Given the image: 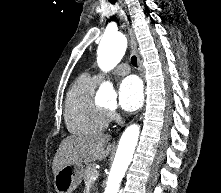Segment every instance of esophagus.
I'll list each match as a JSON object with an SVG mask.
<instances>
[{
	"label": "esophagus",
	"mask_w": 221,
	"mask_h": 193,
	"mask_svg": "<svg viewBox=\"0 0 221 193\" xmlns=\"http://www.w3.org/2000/svg\"><path fill=\"white\" fill-rule=\"evenodd\" d=\"M119 2L121 4V6L124 7L125 10L127 11V7H126L125 3L123 2V0H119ZM127 27H128L131 42H132V45H133V51L137 55V58H138L139 71L141 72L142 77H144L142 63H141V59H140V56H139V53H138L137 41H136L134 29H133V26H132L131 22L128 21V20H127Z\"/></svg>",
	"instance_id": "34e87169"
}]
</instances>
